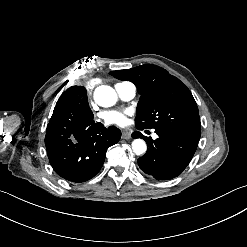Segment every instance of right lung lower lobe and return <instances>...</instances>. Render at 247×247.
<instances>
[{"label":"right lung lower lobe","mask_w":247,"mask_h":247,"mask_svg":"<svg viewBox=\"0 0 247 247\" xmlns=\"http://www.w3.org/2000/svg\"><path fill=\"white\" fill-rule=\"evenodd\" d=\"M48 125L45 145L49 162L59 176L72 182L93 178L103 166L107 149L121 137L118 128H105L93 120L92 112L70 105L55 107Z\"/></svg>","instance_id":"obj_1"}]
</instances>
